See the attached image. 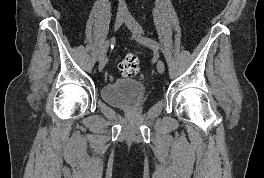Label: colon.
I'll return each mask as SVG.
<instances>
[{
    "label": "colon",
    "mask_w": 264,
    "mask_h": 178,
    "mask_svg": "<svg viewBox=\"0 0 264 178\" xmlns=\"http://www.w3.org/2000/svg\"><path fill=\"white\" fill-rule=\"evenodd\" d=\"M119 71L125 77H135L139 73V58L136 54H127L119 63Z\"/></svg>",
    "instance_id": "colon-1"
}]
</instances>
